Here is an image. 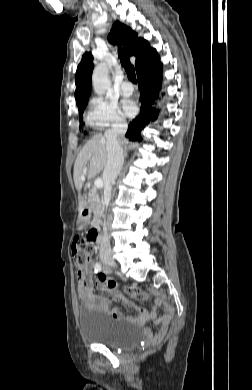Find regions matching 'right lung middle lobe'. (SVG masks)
Wrapping results in <instances>:
<instances>
[{"mask_svg": "<svg viewBox=\"0 0 252 390\" xmlns=\"http://www.w3.org/2000/svg\"><path fill=\"white\" fill-rule=\"evenodd\" d=\"M84 108H85V106L82 107V108H78L79 109V115H81L83 113ZM80 122H82V117L81 116H80Z\"/></svg>", "mask_w": 252, "mask_h": 390, "instance_id": "dd1d6c3e", "label": "right lung middle lobe"}]
</instances>
